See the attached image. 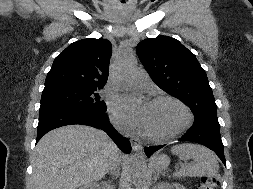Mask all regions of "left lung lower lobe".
Here are the masks:
<instances>
[{"label": "left lung lower lobe", "mask_w": 253, "mask_h": 189, "mask_svg": "<svg viewBox=\"0 0 253 189\" xmlns=\"http://www.w3.org/2000/svg\"><path fill=\"white\" fill-rule=\"evenodd\" d=\"M179 141H192L207 146L218 155L223 164L226 166L219 123L194 122L193 126L189 128V130L179 139ZM163 146L164 145L145 147L144 151L149 157L152 153L159 150Z\"/></svg>", "instance_id": "0a47b994"}]
</instances>
